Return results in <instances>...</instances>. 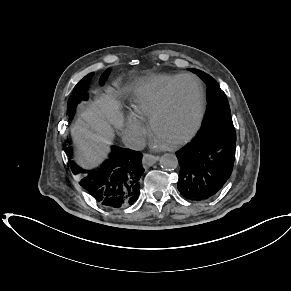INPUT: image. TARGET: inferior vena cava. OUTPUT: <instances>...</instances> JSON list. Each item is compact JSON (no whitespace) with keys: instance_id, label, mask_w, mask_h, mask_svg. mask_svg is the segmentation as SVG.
Masks as SVG:
<instances>
[{"instance_id":"obj_1","label":"inferior vena cava","mask_w":291,"mask_h":291,"mask_svg":"<svg viewBox=\"0 0 291 291\" xmlns=\"http://www.w3.org/2000/svg\"><path fill=\"white\" fill-rule=\"evenodd\" d=\"M122 141L127 148L134 150H143L146 146L145 140L140 134L124 135Z\"/></svg>"}]
</instances>
